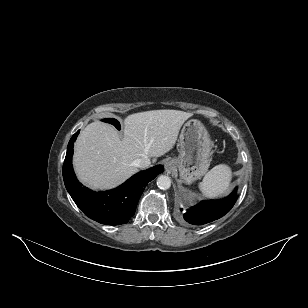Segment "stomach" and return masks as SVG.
<instances>
[{
    "mask_svg": "<svg viewBox=\"0 0 308 308\" xmlns=\"http://www.w3.org/2000/svg\"><path fill=\"white\" fill-rule=\"evenodd\" d=\"M177 146L179 156L174 161L181 179L187 184L200 179L209 168L212 148L205 126L195 119L186 122Z\"/></svg>",
    "mask_w": 308,
    "mask_h": 308,
    "instance_id": "obj_1",
    "label": "stomach"
}]
</instances>
